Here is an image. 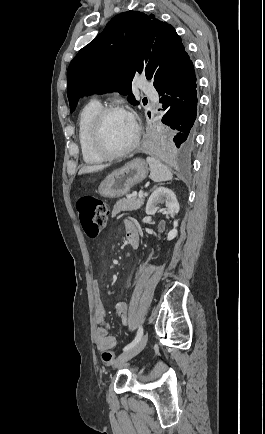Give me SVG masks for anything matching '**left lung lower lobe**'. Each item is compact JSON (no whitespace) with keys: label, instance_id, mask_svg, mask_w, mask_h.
<instances>
[{"label":"left lung lower lobe","instance_id":"obj_1","mask_svg":"<svg viewBox=\"0 0 265 434\" xmlns=\"http://www.w3.org/2000/svg\"><path fill=\"white\" fill-rule=\"evenodd\" d=\"M194 65L187 54L158 91L161 96L168 136L155 139L150 148L161 155H182L190 152L197 134V85Z\"/></svg>","mask_w":265,"mask_h":434}]
</instances>
